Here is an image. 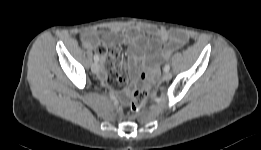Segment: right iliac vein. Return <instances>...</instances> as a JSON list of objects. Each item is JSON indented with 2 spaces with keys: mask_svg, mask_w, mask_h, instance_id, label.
I'll return each instance as SVG.
<instances>
[{
  "mask_svg": "<svg viewBox=\"0 0 261 150\" xmlns=\"http://www.w3.org/2000/svg\"><path fill=\"white\" fill-rule=\"evenodd\" d=\"M91 70L93 73L98 74L100 71V65L97 62L93 63L91 66Z\"/></svg>",
  "mask_w": 261,
  "mask_h": 150,
  "instance_id": "right-iliac-vein-1",
  "label": "right iliac vein"
}]
</instances>
